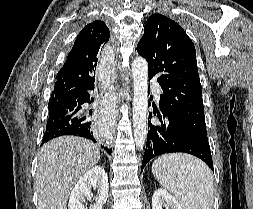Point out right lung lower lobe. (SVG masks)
I'll use <instances>...</instances> for the list:
<instances>
[{
    "instance_id": "obj_1",
    "label": "right lung lower lobe",
    "mask_w": 253,
    "mask_h": 209,
    "mask_svg": "<svg viewBox=\"0 0 253 209\" xmlns=\"http://www.w3.org/2000/svg\"><path fill=\"white\" fill-rule=\"evenodd\" d=\"M93 90L94 88H91L77 98L69 101L55 100L49 102V110L62 111L64 115L57 119H48L42 144L53 138L64 135L84 137L95 143L101 139L95 121L92 120L88 114H85L83 110L84 103L90 104L93 102V97L91 95V91ZM101 147L111 154V148L104 145H101Z\"/></svg>"
}]
</instances>
